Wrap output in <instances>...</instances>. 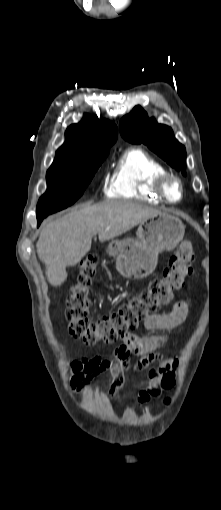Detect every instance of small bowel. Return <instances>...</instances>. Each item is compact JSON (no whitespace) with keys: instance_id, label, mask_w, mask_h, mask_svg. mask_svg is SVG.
Wrapping results in <instances>:
<instances>
[{"instance_id":"c3829d8e","label":"small bowel","mask_w":221,"mask_h":510,"mask_svg":"<svg viewBox=\"0 0 221 510\" xmlns=\"http://www.w3.org/2000/svg\"><path fill=\"white\" fill-rule=\"evenodd\" d=\"M189 312V302L178 300L173 304L170 313L150 315L143 321V326L154 331L171 329L182 324ZM168 340V337L163 335L143 337L128 332L122 336L121 344L113 349L111 357L97 354L70 361L68 365L72 372V389L83 394L98 375L109 371L112 380L108 396L113 399L122 388L127 373L147 370L149 385L139 392L138 404L158 398L164 390L170 389L175 381L174 369L177 360L164 358L158 352L159 347Z\"/></svg>"}]
</instances>
